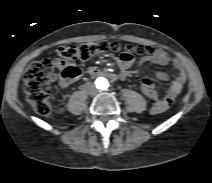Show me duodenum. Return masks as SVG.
I'll return each mask as SVG.
<instances>
[{
	"label": "duodenum",
	"instance_id": "duodenum-1",
	"mask_svg": "<svg viewBox=\"0 0 212 183\" xmlns=\"http://www.w3.org/2000/svg\"><path fill=\"white\" fill-rule=\"evenodd\" d=\"M88 74L92 77L105 76V77H108L112 80H118L119 79V75H117L113 72H109V71L104 70V69L96 68V67L90 68L88 70Z\"/></svg>",
	"mask_w": 212,
	"mask_h": 183
}]
</instances>
